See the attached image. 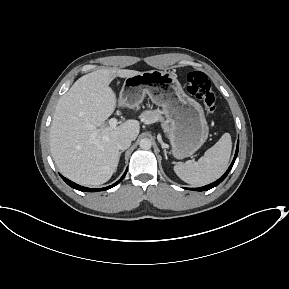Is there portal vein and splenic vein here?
<instances>
[{
  "label": "portal vein and splenic vein",
  "mask_w": 289,
  "mask_h": 289,
  "mask_svg": "<svg viewBox=\"0 0 289 289\" xmlns=\"http://www.w3.org/2000/svg\"><path fill=\"white\" fill-rule=\"evenodd\" d=\"M117 124H118V121H117L116 118H111V119L109 120V127H110V128H115V127L117 126Z\"/></svg>",
  "instance_id": "18ae733b"
}]
</instances>
